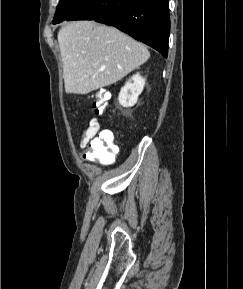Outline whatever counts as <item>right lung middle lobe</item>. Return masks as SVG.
Masks as SVG:
<instances>
[{"label":"right lung middle lobe","instance_id":"obj_1","mask_svg":"<svg viewBox=\"0 0 243 289\" xmlns=\"http://www.w3.org/2000/svg\"><path fill=\"white\" fill-rule=\"evenodd\" d=\"M82 1L83 0H60L52 23L57 24L66 20Z\"/></svg>","mask_w":243,"mask_h":289}]
</instances>
